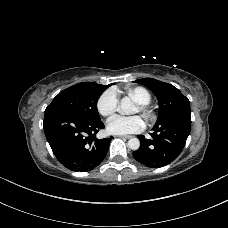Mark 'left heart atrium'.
Listing matches in <instances>:
<instances>
[{"instance_id": "obj_1", "label": "left heart atrium", "mask_w": 228, "mask_h": 228, "mask_svg": "<svg viewBox=\"0 0 228 228\" xmlns=\"http://www.w3.org/2000/svg\"><path fill=\"white\" fill-rule=\"evenodd\" d=\"M144 129V122L140 116L123 117L115 115L107 122V130L112 134L137 133Z\"/></svg>"}]
</instances>
